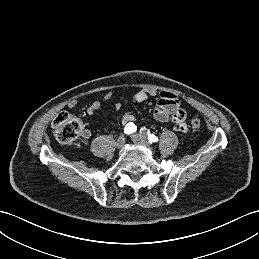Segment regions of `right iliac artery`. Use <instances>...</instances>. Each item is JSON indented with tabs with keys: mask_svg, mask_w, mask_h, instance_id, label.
I'll return each mask as SVG.
<instances>
[{
	"mask_svg": "<svg viewBox=\"0 0 259 259\" xmlns=\"http://www.w3.org/2000/svg\"><path fill=\"white\" fill-rule=\"evenodd\" d=\"M137 130V126L134 123H128L124 128V133L129 135L134 133Z\"/></svg>",
	"mask_w": 259,
	"mask_h": 259,
	"instance_id": "1",
	"label": "right iliac artery"
}]
</instances>
